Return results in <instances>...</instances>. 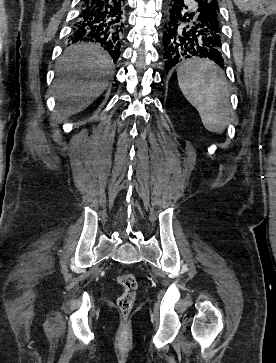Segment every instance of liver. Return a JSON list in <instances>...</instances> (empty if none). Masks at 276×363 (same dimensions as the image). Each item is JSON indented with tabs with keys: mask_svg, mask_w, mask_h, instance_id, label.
<instances>
[{
	"mask_svg": "<svg viewBox=\"0 0 276 363\" xmlns=\"http://www.w3.org/2000/svg\"><path fill=\"white\" fill-rule=\"evenodd\" d=\"M60 78L54 84L56 98L61 103L57 113L62 117L79 113L100 96L113 73L108 54L97 45L76 43L68 47L57 62Z\"/></svg>",
	"mask_w": 276,
	"mask_h": 363,
	"instance_id": "6515ba94",
	"label": "liver"
}]
</instances>
